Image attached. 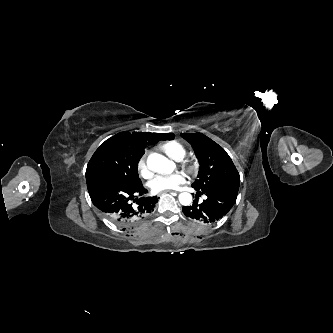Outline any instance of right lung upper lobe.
Segmentation results:
<instances>
[{
	"instance_id": "obj_1",
	"label": "right lung upper lobe",
	"mask_w": 333,
	"mask_h": 333,
	"mask_svg": "<svg viewBox=\"0 0 333 333\" xmlns=\"http://www.w3.org/2000/svg\"><path fill=\"white\" fill-rule=\"evenodd\" d=\"M159 133H142V132H121L117 134L118 137L122 138L124 142L127 144L131 155L136 158L140 159L142 155L144 154V148L147 145L154 144L157 142L158 139H161L158 136ZM173 134V133H170ZM174 135V134H173ZM174 137L169 138H162V139H168L171 140Z\"/></svg>"
}]
</instances>
